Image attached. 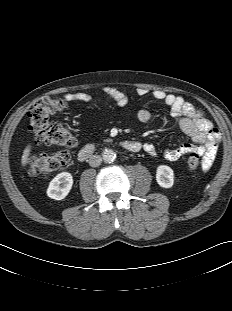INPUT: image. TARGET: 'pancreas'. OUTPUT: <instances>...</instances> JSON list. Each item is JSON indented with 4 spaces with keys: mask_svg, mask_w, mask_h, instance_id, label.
Here are the masks:
<instances>
[{
    "mask_svg": "<svg viewBox=\"0 0 232 311\" xmlns=\"http://www.w3.org/2000/svg\"><path fill=\"white\" fill-rule=\"evenodd\" d=\"M104 141H105V142H111L112 139H109V138H108V139H105Z\"/></svg>",
    "mask_w": 232,
    "mask_h": 311,
    "instance_id": "cf45deb5",
    "label": "pancreas"
}]
</instances>
